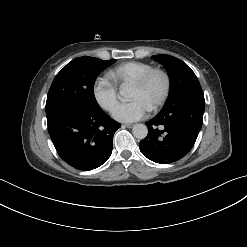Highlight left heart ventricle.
Wrapping results in <instances>:
<instances>
[{
  "label": "left heart ventricle",
  "mask_w": 247,
  "mask_h": 247,
  "mask_svg": "<svg viewBox=\"0 0 247 247\" xmlns=\"http://www.w3.org/2000/svg\"><path fill=\"white\" fill-rule=\"evenodd\" d=\"M164 87V78L161 75L156 74L143 88L133 85L131 91V99H141L149 107H151L161 97L164 91Z\"/></svg>",
  "instance_id": "obj_1"
}]
</instances>
